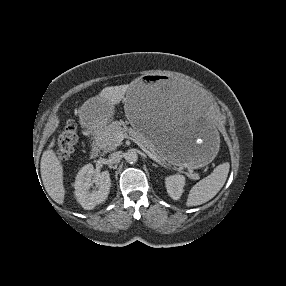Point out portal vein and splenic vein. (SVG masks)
Returning <instances> with one entry per match:
<instances>
[{"label":"portal vein and splenic vein","mask_w":286,"mask_h":286,"mask_svg":"<svg viewBox=\"0 0 286 286\" xmlns=\"http://www.w3.org/2000/svg\"><path fill=\"white\" fill-rule=\"evenodd\" d=\"M124 138H130L131 140H133L151 159H153L155 162H157L158 164L165 166L152 152H150L145 145H143L141 142H139L138 140L128 137V135L125 134H118L117 135V139L121 142Z\"/></svg>","instance_id":"1"}]
</instances>
